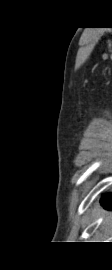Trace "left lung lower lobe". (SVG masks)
Listing matches in <instances>:
<instances>
[{
    "label": "left lung lower lobe",
    "mask_w": 112,
    "mask_h": 270,
    "mask_svg": "<svg viewBox=\"0 0 112 270\" xmlns=\"http://www.w3.org/2000/svg\"><path fill=\"white\" fill-rule=\"evenodd\" d=\"M101 204L105 207V208H110L112 209V194L109 195H104L101 199Z\"/></svg>",
    "instance_id": "obj_1"
}]
</instances>
